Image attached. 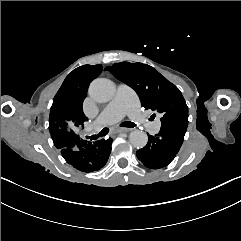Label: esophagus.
<instances>
[{
	"mask_svg": "<svg viewBox=\"0 0 241 241\" xmlns=\"http://www.w3.org/2000/svg\"><path fill=\"white\" fill-rule=\"evenodd\" d=\"M129 131H130V129H128V128H120V129L116 130L115 133L129 132Z\"/></svg>",
	"mask_w": 241,
	"mask_h": 241,
	"instance_id": "obj_1",
	"label": "esophagus"
}]
</instances>
